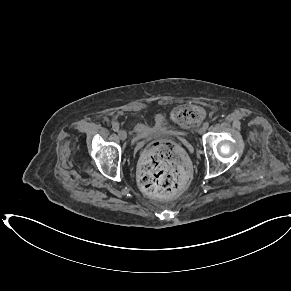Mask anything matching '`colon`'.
Instances as JSON below:
<instances>
[{
    "label": "colon",
    "instance_id": "obj_1",
    "mask_svg": "<svg viewBox=\"0 0 291 291\" xmlns=\"http://www.w3.org/2000/svg\"><path fill=\"white\" fill-rule=\"evenodd\" d=\"M203 109L195 104L174 108L171 119L182 127L202 121ZM189 165L183 151L171 142L152 144L144 153L138 174L143 191L152 197H168L181 191L188 183Z\"/></svg>",
    "mask_w": 291,
    "mask_h": 291
}]
</instances>
